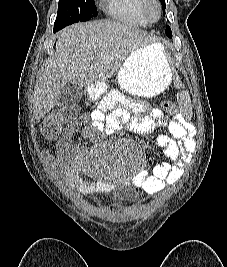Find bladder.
I'll list each match as a JSON object with an SVG mask.
<instances>
[{"label": "bladder", "instance_id": "obj_1", "mask_svg": "<svg viewBox=\"0 0 227 267\" xmlns=\"http://www.w3.org/2000/svg\"><path fill=\"white\" fill-rule=\"evenodd\" d=\"M126 200L123 202L124 205H129L135 202L136 197L134 195L131 194H127L125 195ZM111 203H113V201H111Z\"/></svg>", "mask_w": 227, "mask_h": 267}]
</instances>
